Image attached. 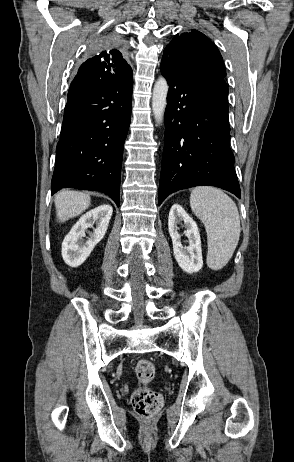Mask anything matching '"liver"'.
<instances>
[{
  "label": "liver",
  "instance_id": "obj_1",
  "mask_svg": "<svg viewBox=\"0 0 294 462\" xmlns=\"http://www.w3.org/2000/svg\"><path fill=\"white\" fill-rule=\"evenodd\" d=\"M88 194L78 191H62L55 197V207L59 222H64L84 212L90 205Z\"/></svg>",
  "mask_w": 294,
  "mask_h": 462
}]
</instances>
